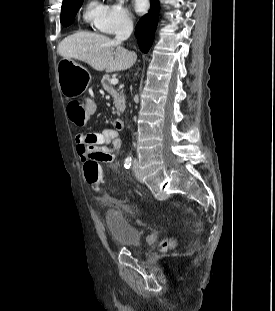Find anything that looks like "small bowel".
<instances>
[{
  "mask_svg": "<svg viewBox=\"0 0 275 311\" xmlns=\"http://www.w3.org/2000/svg\"><path fill=\"white\" fill-rule=\"evenodd\" d=\"M75 144L83 162H111L115 159V152L121 148L122 140L116 128H108L101 132L78 133L75 136Z\"/></svg>",
  "mask_w": 275,
  "mask_h": 311,
  "instance_id": "1",
  "label": "small bowel"
}]
</instances>
